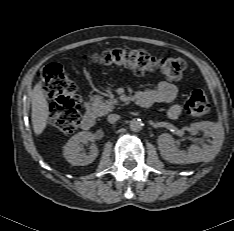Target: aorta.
<instances>
[{"label":"aorta","instance_id":"762f6f07","mask_svg":"<svg viewBox=\"0 0 234 231\" xmlns=\"http://www.w3.org/2000/svg\"><path fill=\"white\" fill-rule=\"evenodd\" d=\"M143 122L141 119L134 118L130 121L129 127L134 132H139L143 128Z\"/></svg>","mask_w":234,"mask_h":231}]
</instances>
